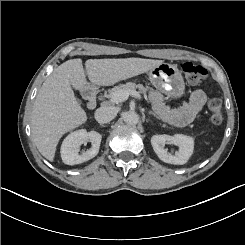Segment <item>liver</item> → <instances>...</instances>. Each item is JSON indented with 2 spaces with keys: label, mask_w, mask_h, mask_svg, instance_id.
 <instances>
[{
  "label": "liver",
  "mask_w": 245,
  "mask_h": 245,
  "mask_svg": "<svg viewBox=\"0 0 245 245\" xmlns=\"http://www.w3.org/2000/svg\"><path fill=\"white\" fill-rule=\"evenodd\" d=\"M162 63V60L142 58L89 59L85 66L91 83L111 86L148 72ZM71 85L77 90H82L87 85L81 59L68 60L55 68L44 81L33 105V141L38 151L49 161H53L62 135L87 120Z\"/></svg>",
  "instance_id": "liver-1"
}]
</instances>
